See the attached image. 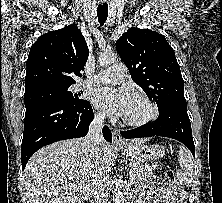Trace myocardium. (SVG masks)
I'll use <instances>...</instances> for the list:
<instances>
[{
    "mask_svg": "<svg viewBox=\"0 0 222 203\" xmlns=\"http://www.w3.org/2000/svg\"><path fill=\"white\" fill-rule=\"evenodd\" d=\"M132 97L143 101L149 107V114L140 120H130L124 117L123 122L127 126L142 127L153 122L158 117L159 114L158 107L148 96L142 93H134Z\"/></svg>",
    "mask_w": 222,
    "mask_h": 203,
    "instance_id": "obj_1",
    "label": "myocardium"
}]
</instances>
